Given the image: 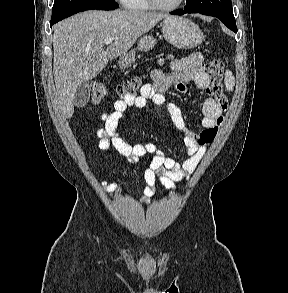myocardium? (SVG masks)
I'll return each instance as SVG.
<instances>
[{
  "instance_id": "f54148a6",
  "label": "myocardium",
  "mask_w": 288,
  "mask_h": 293,
  "mask_svg": "<svg viewBox=\"0 0 288 293\" xmlns=\"http://www.w3.org/2000/svg\"><path fill=\"white\" fill-rule=\"evenodd\" d=\"M150 6L154 9L161 10V11H173L178 9L184 0H177L174 4L171 5H163L157 2L156 0H147Z\"/></svg>"
}]
</instances>
